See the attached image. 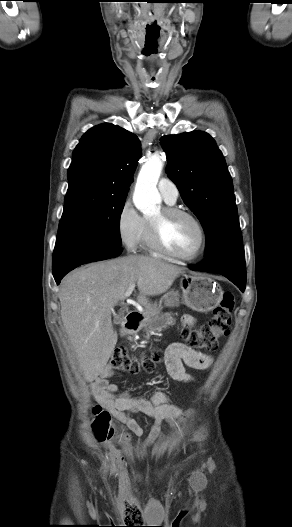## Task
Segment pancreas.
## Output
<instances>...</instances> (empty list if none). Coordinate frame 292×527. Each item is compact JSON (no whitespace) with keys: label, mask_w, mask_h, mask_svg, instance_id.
<instances>
[{"label":"pancreas","mask_w":292,"mask_h":527,"mask_svg":"<svg viewBox=\"0 0 292 527\" xmlns=\"http://www.w3.org/2000/svg\"><path fill=\"white\" fill-rule=\"evenodd\" d=\"M172 320V313H164L162 315H157L147 323H144V331L146 332V334H149L153 331H161L163 328H166L168 325H171L173 323Z\"/></svg>","instance_id":"obj_1"}]
</instances>
